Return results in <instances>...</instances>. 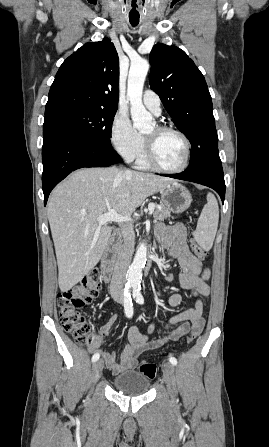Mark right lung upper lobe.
Segmentation results:
<instances>
[{
	"instance_id": "1",
	"label": "right lung upper lobe",
	"mask_w": 269,
	"mask_h": 447,
	"mask_svg": "<svg viewBox=\"0 0 269 447\" xmlns=\"http://www.w3.org/2000/svg\"><path fill=\"white\" fill-rule=\"evenodd\" d=\"M119 59L104 38L86 43L60 66L50 88L45 114L62 107H118Z\"/></svg>"
}]
</instances>
